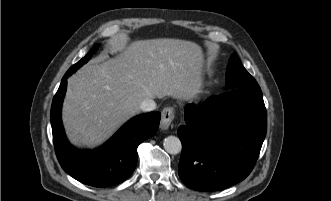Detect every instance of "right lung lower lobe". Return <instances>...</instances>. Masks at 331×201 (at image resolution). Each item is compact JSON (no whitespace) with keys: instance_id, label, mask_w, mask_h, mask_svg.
<instances>
[{"instance_id":"right-lung-lower-lobe-1","label":"right lung lower lobe","mask_w":331,"mask_h":201,"mask_svg":"<svg viewBox=\"0 0 331 201\" xmlns=\"http://www.w3.org/2000/svg\"><path fill=\"white\" fill-rule=\"evenodd\" d=\"M69 76L66 73L62 78L51 107L53 142L60 165L74 179L94 187L125 181L135 169L137 147L156 133L161 114L150 112L135 116L100 148L77 150L67 141L61 121V107Z\"/></svg>"}]
</instances>
